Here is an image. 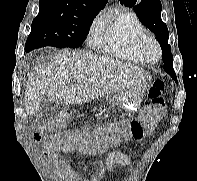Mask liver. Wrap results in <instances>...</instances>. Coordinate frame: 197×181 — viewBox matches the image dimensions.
<instances>
[{
	"mask_svg": "<svg viewBox=\"0 0 197 181\" xmlns=\"http://www.w3.org/2000/svg\"><path fill=\"white\" fill-rule=\"evenodd\" d=\"M152 76L144 69L117 59L62 50L48 65H39L26 83L28 115L40 111L47 96L56 104H81L127 90ZM71 80L75 85L69 86Z\"/></svg>",
	"mask_w": 197,
	"mask_h": 181,
	"instance_id": "6515ba94",
	"label": "liver"
}]
</instances>
